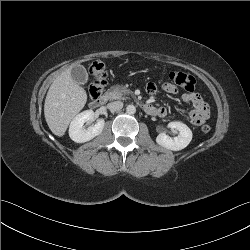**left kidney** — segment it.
Returning a JSON list of instances; mask_svg holds the SVG:
<instances>
[{"label": "left kidney", "mask_w": 250, "mask_h": 250, "mask_svg": "<svg viewBox=\"0 0 250 250\" xmlns=\"http://www.w3.org/2000/svg\"><path fill=\"white\" fill-rule=\"evenodd\" d=\"M168 127L178 130V136L169 137L165 133H160L156 137V142L158 145L172 151L182 150L189 145L192 140V131L186 124L175 121L170 122Z\"/></svg>", "instance_id": "obj_1"}]
</instances>
